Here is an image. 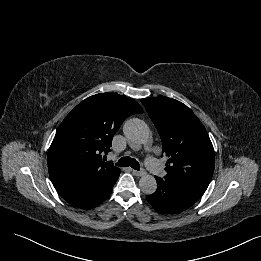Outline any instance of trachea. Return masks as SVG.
I'll list each match as a JSON object with an SVG mask.
<instances>
[{
    "mask_svg": "<svg viewBox=\"0 0 261 261\" xmlns=\"http://www.w3.org/2000/svg\"><path fill=\"white\" fill-rule=\"evenodd\" d=\"M116 165L121 166V167L130 166L135 170H140L139 162L129 156L122 157L121 159H119L118 162L116 163Z\"/></svg>",
    "mask_w": 261,
    "mask_h": 261,
    "instance_id": "trachea-1",
    "label": "trachea"
}]
</instances>
